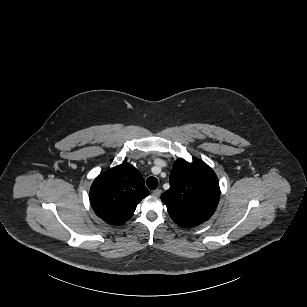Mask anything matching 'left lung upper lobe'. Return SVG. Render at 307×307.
Returning <instances> with one entry per match:
<instances>
[{"instance_id":"5c2ea615","label":"left lung upper lobe","mask_w":307,"mask_h":307,"mask_svg":"<svg viewBox=\"0 0 307 307\" xmlns=\"http://www.w3.org/2000/svg\"><path fill=\"white\" fill-rule=\"evenodd\" d=\"M220 188L214 171L197 159H178L170 174V188L161 196L172 220L183 227L207 221L219 202Z\"/></svg>"}]
</instances>
